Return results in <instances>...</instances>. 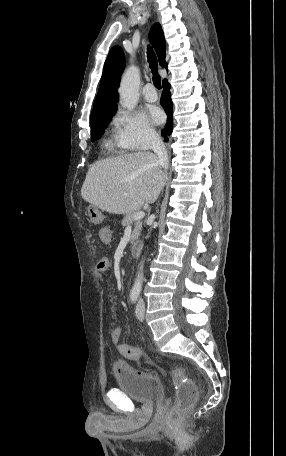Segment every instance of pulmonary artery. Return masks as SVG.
Masks as SVG:
<instances>
[{"label":"pulmonary artery","instance_id":"1","mask_svg":"<svg viewBox=\"0 0 286 456\" xmlns=\"http://www.w3.org/2000/svg\"><path fill=\"white\" fill-rule=\"evenodd\" d=\"M142 94L144 99L148 102H155L158 98L157 92L155 91V88L151 83H148L144 86Z\"/></svg>","mask_w":286,"mask_h":456}]
</instances>
